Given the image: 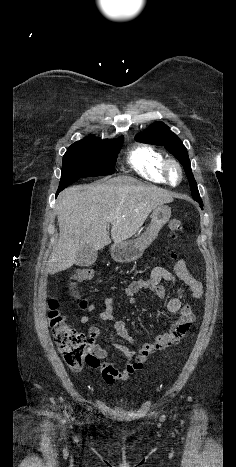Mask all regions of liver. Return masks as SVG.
<instances>
[{
    "label": "liver",
    "mask_w": 236,
    "mask_h": 467,
    "mask_svg": "<svg viewBox=\"0 0 236 467\" xmlns=\"http://www.w3.org/2000/svg\"><path fill=\"white\" fill-rule=\"evenodd\" d=\"M172 201L167 190L126 176L65 189L57 199L60 235L47 263L48 273L72 267L77 252L85 245L99 250L110 244V224L114 243L126 241L154 208Z\"/></svg>",
    "instance_id": "1"
}]
</instances>
